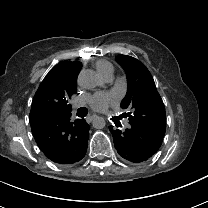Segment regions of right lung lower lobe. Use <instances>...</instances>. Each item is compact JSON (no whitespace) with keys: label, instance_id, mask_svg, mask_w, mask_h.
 <instances>
[{"label":"right lung lower lobe","instance_id":"right-lung-lower-lobe-1","mask_svg":"<svg viewBox=\"0 0 208 208\" xmlns=\"http://www.w3.org/2000/svg\"><path fill=\"white\" fill-rule=\"evenodd\" d=\"M33 136L41 151L58 164H73L86 154L89 125L84 119L70 121V116H31Z\"/></svg>","mask_w":208,"mask_h":208}]
</instances>
